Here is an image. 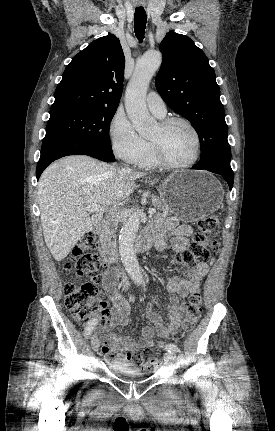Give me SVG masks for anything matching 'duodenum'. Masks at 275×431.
Segmentation results:
<instances>
[{"instance_id":"duodenum-1","label":"duodenum","mask_w":275,"mask_h":431,"mask_svg":"<svg viewBox=\"0 0 275 431\" xmlns=\"http://www.w3.org/2000/svg\"><path fill=\"white\" fill-rule=\"evenodd\" d=\"M107 228H108V222L105 220L101 221L98 225V230L102 235L106 233ZM151 245H152V238L147 233L139 240L137 244V249L139 252H145L150 249ZM100 254L102 259L106 263H114L117 261V253L114 246L106 240H104L101 245Z\"/></svg>"}]
</instances>
